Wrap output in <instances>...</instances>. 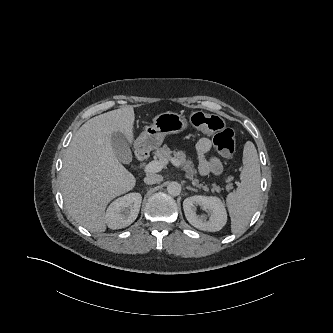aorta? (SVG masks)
Returning <instances> with one entry per match:
<instances>
[{
  "label": "aorta",
  "instance_id": "1",
  "mask_svg": "<svg viewBox=\"0 0 333 333\" xmlns=\"http://www.w3.org/2000/svg\"><path fill=\"white\" fill-rule=\"evenodd\" d=\"M167 192L171 196H178L181 192V185L178 182H170L167 186Z\"/></svg>",
  "mask_w": 333,
  "mask_h": 333
}]
</instances>
